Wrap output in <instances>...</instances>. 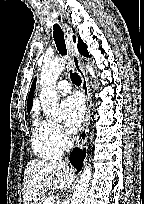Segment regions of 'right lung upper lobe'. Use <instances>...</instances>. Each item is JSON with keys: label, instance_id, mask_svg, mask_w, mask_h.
<instances>
[{"label": "right lung upper lobe", "instance_id": "right-lung-upper-lobe-1", "mask_svg": "<svg viewBox=\"0 0 144 204\" xmlns=\"http://www.w3.org/2000/svg\"><path fill=\"white\" fill-rule=\"evenodd\" d=\"M73 40L75 41V37H73ZM35 86H36V79H34V82H33L32 86H31L30 93H29V96H28V101H27L28 113L32 108V100H33V94H34Z\"/></svg>", "mask_w": 144, "mask_h": 204}]
</instances>
